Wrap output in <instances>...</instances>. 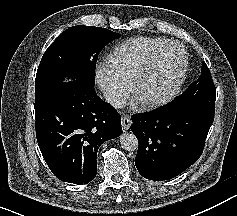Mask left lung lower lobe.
<instances>
[{"label":"left lung lower lobe","instance_id":"0a47b994","mask_svg":"<svg viewBox=\"0 0 237 216\" xmlns=\"http://www.w3.org/2000/svg\"><path fill=\"white\" fill-rule=\"evenodd\" d=\"M214 112L176 102L132 116L139 142L135 165L144 178L169 180L186 170L203 152Z\"/></svg>","mask_w":237,"mask_h":216}]
</instances>
